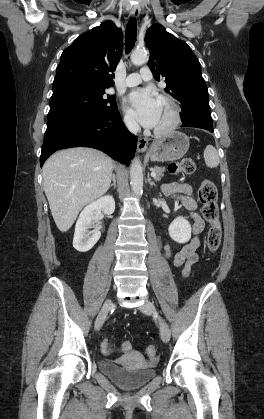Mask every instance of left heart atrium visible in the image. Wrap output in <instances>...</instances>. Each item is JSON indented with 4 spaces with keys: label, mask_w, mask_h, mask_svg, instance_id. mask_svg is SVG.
I'll use <instances>...</instances> for the list:
<instances>
[{
    "label": "left heart atrium",
    "mask_w": 264,
    "mask_h": 419,
    "mask_svg": "<svg viewBox=\"0 0 264 419\" xmlns=\"http://www.w3.org/2000/svg\"><path fill=\"white\" fill-rule=\"evenodd\" d=\"M132 114L145 127H155L159 118V99L149 89H136L128 97Z\"/></svg>",
    "instance_id": "obj_1"
}]
</instances>
